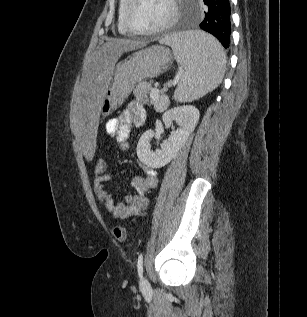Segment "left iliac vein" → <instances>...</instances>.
<instances>
[{"instance_id":"1","label":"left iliac vein","mask_w":307,"mask_h":317,"mask_svg":"<svg viewBox=\"0 0 307 317\" xmlns=\"http://www.w3.org/2000/svg\"><path fill=\"white\" fill-rule=\"evenodd\" d=\"M140 286L142 289H149L150 288V285L148 283V281L145 279V278H142L141 281H140Z\"/></svg>"}]
</instances>
